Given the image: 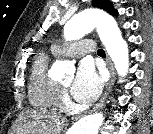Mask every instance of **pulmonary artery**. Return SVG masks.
<instances>
[{
	"instance_id": "obj_1",
	"label": "pulmonary artery",
	"mask_w": 153,
	"mask_h": 134,
	"mask_svg": "<svg viewBox=\"0 0 153 134\" xmlns=\"http://www.w3.org/2000/svg\"><path fill=\"white\" fill-rule=\"evenodd\" d=\"M94 51V44L89 39L75 41L67 46L53 45L52 52L55 55H68L81 57Z\"/></svg>"
}]
</instances>
